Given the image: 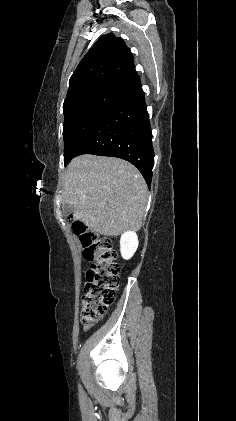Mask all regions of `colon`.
Instances as JSON below:
<instances>
[{"label":"colon","instance_id":"colon-1","mask_svg":"<svg viewBox=\"0 0 236 421\" xmlns=\"http://www.w3.org/2000/svg\"><path fill=\"white\" fill-rule=\"evenodd\" d=\"M73 229L80 238L84 257L91 263L86 273L81 307V323L88 327L100 321L113 303L119 284L120 267L109 238L85 230L84 225L78 221L74 223Z\"/></svg>","mask_w":236,"mask_h":421}]
</instances>
